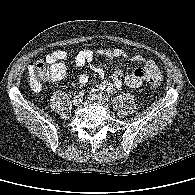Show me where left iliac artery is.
Here are the masks:
<instances>
[{
    "instance_id": "1",
    "label": "left iliac artery",
    "mask_w": 195,
    "mask_h": 195,
    "mask_svg": "<svg viewBox=\"0 0 195 195\" xmlns=\"http://www.w3.org/2000/svg\"><path fill=\"white\" fill-rule=\"evenodd\" d=\"M105 100H108V98L107 97H103Z\"/></svg>"
}]
</instances>
